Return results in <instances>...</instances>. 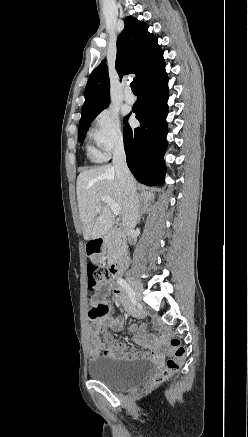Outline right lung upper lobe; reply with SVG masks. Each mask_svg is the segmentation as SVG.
<instances>
[{
	"mask_svg": "<svg viewBox=\"0 0 248 437\" xmlns=\"http://www.w3.org/2000/svg\"><path fill=\"white\" fill-rule=\"evenodd\" d=\"M163 61V52L157 38L148 32L147 24L131 16L127 17L125 27L117 39L115 67L120 78L134 73V79L139 85ZM109 89L108 67L102 61L87 82L81 120L99 114L109 105Z\"/></svg>",
	"mask_w": 248,
	"mask_h": 437,
	"instance_id": "right-lung-upper-lobe-1",
	"label": "right lung upper lobe"
}]
</instances>
